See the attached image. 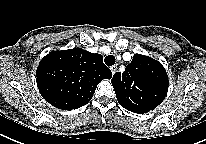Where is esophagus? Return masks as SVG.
Masks as SVG:
<instances>
[{
  "label": "esophagus",
  "mask_w": 206,
  "mask_h": 144,
  "mask_svg": "<svg viewBox=\"0 0 206 144\" xmlns=\"http://www.w3.org/2000/svg\"><path fill=\"white\" fill-rule=\"evenodd\" d=\"M110 69H111L112 74L114 75L117 71V65H113Z\"/></svg>",
  "instance_id": "esophagus-1"
}]
</instances>
